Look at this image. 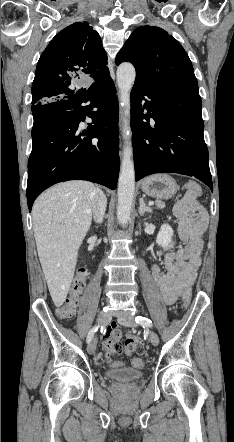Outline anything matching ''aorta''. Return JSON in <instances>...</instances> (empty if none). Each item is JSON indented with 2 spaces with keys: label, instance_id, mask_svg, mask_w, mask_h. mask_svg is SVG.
I'll use <instances>...</instances> for the list:
<instances>
[{
  "label": "aorta",
  "instance_id": "aorta-1",
  "mask_svg": "<svg viewBox=\"0 0 234 442\" xmlns=\"http://www.w3.org/2000/svg\"><path fill=\"white\" fill-rule=\"evenodd\" d=\"M136 71L131 63H122L117 69V84L120 90V104L123 108L124 138L123 158L118 180L117 218L122 226H126L131 214L135 190V169L130 128V91L134 84Z\"/></svg>",
  "mask_w": 234,
  "mask_h": 442
}]
</instances>
